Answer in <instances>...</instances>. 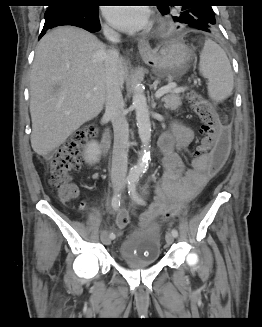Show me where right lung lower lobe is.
I'll return each instance as SVG.
<instances>
[{"mask_svg": "<svg viewBox=\"0 0 262 327\" xmlns=\"http://www.w3.org/2000/svg\"><path fill=\"white\" fill-rule=\"evenodd\" d=\"M44 18L45 23L39 38L47 30L62 25L77 26L92 33L99 31L101 28L98 6H80L68 0H61L55 5L49 6Z\"/></svg>", "mask_w": 262, "mask_h": 327, "instance_id": "1", "label": "right lung lower lobe"}]
</instances>
